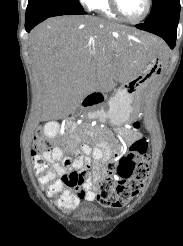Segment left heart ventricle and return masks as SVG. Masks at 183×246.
Here are the masks:
<instances>
[{
  "instance_id": "b2bd125f",
  "label": "left heart ventricle",
  "mask_w": 183,
  "mask_h": 246,
  "mask_svg": "<svg viewBox=\"0 0 183 246\" xmlns=\"http://www.w3.org/2000/svg\"><path fill=\"white\" fill-rule=\"evenodd\" d=\"M119 2L124 15L132 19L140 17L146 7L145 0H119Z\"/></svg>"
}]
</instances>
